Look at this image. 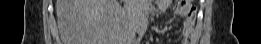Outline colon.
Wrapping results in <instances>:
<instances>
[{"mask_svg":"<svg viewBox=\"0 0 261 44\" xmlns=\"http://www.w3.org/2000/svg\"><path fill=\"white\" fill-rule=\"evenodd\" d=\"M191 1H178V7L185 8L186 6H191Z\"/></svg>","mask_w":261,"mask_h":44,"instance_id":"obj_1","label":"colon"}]
</instances>
